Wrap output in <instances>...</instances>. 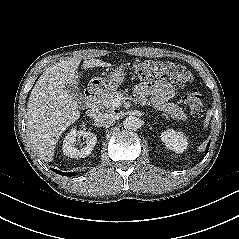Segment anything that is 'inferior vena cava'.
<instances>
[{
    "instance_id": "inferior-vena-cava-1",
    "label": "inferior vena cava",
    "mask_w": 239,
    "mask_h": 239,
    "mask_svg": "<svg viewBox=\"0 0 239 239\" xmlns=\"http://www.w3.org/2000/svg\"><path fill=\"white\" fill-rule=\"evenodd\" d=\"M116 120V114L114 112L99 114L96 117V121L100 123L110 124Z\"/></svg>"
}]
</instances>
